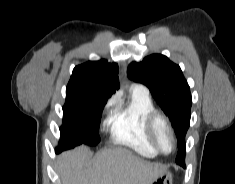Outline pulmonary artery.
<instances>
[{"instance_id":"obj_1","label":"pulmonary artery","mask_w":235,"mask_h":184,"mask_svg":"<svg viewBox=\"0 0 235 184\" xmlns=\"http://www.w3.org/2000/svg\"><path fill=\"white\" fill-rule=\"evenodd\" d=\"M132 90L139 95H143V96H149V89L147 86L143 85V84H133L132 85Z\"/></svg>"}]
</instances>
